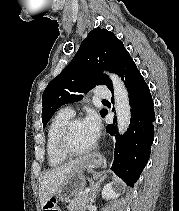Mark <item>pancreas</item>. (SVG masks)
Listing matches in <instances>:
<instances>
[{"label": "pancreas", "instance_id": "pancreas-1", "mask_svg": "<svg viewBox=\"0 0 179 211\" xmlns=\"http://www.w3.org/2000/svg\"><path fill=\"white\" fill-rule=\"evenodd\" d=\"M92 201V192L85 193L84 191H80L74 196L67 208L69 211H86L87 205Z\"/></svg>", "mask_w": 179, "mask_h": 211}]
</instances>
